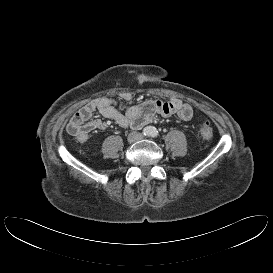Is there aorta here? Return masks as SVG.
Wrapping results in <instances>:
<instances>
[{
  "mask_svg": "<svg viewBox=\"0 0 273 273\" xmlns=\"http://www.w3.org/2000/svg\"><path fill=\"white\" fill-rule=\"evenodd\" d=\"M146 132H147V134L152 135L153 132H154V128L153 127H147Z\"/></svg>",
  "mask_w": 273,
  "mask_h": 273,
  "instance_id": "762f6f07",
  "label": "aorta"
}]
</instances>
